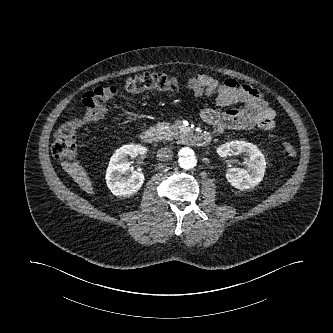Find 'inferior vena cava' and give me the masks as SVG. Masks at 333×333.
I'll list each match as a JSON object with an SVG mask.
<instances>
[{"instance_id":"602c4592","label":"inferior vena cava","mask_w":333,"mask_h":333,"mask_svg":"<svg viewBox=\"0 0 333 333\" xmlns=\"http://www.w3.org/2000/svg\"><path fill=\"white\" fill-rule=\"evenodd\" d=\"M156 156L159 161H169L173 157V151L170 148H161Z\"/></svg>"}]
</instances>
